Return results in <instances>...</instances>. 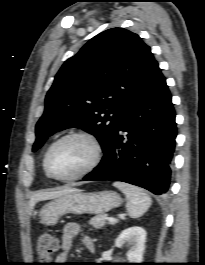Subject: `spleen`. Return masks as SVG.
<instances>
[{
	"instance_id": "3e777b00",
	"label": "spleen",
	"mask_w": 205,
	"mask_h": 265,
	"mask_svg": "<svg viewBox=\"0 0 205 265\" xmlns=\"http://www.w3.org/2000/svg\"><path fill=\"white\" fill-rule=\"evenodd\" d=\"M113 185L125 194L126 208L131 218L142 216L150 207L152 200L143 189L123 182H114Z\"/></svg>"
}]
</instances>
